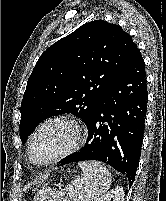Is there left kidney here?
<instances>
[{"mask_svg":"<svg viewBox=\"0 0 166 201\" xmlns=\"http://www.w3.org/2000/svg\"><path fill=\"white\" fill-rule=\"evenodd\" d=\"M124 201V190L122 187H116L105 194L100 201Z\"/></svg>","mask_w":166,"mask_h":201,"instance_id":"obj_1","label":"left kidney"}]
</instances>
